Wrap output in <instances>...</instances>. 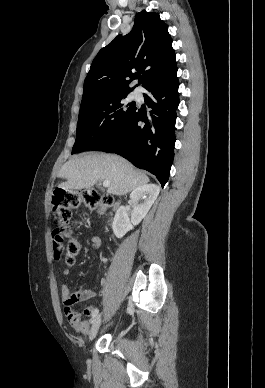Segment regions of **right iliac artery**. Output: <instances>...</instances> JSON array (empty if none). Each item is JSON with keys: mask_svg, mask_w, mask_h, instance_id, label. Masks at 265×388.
Wrapping results in <instances>:
<instances>
[{"mask_svg": "<svg viewBox=\"0 0 265 388\" xmlns=\"http://www.w3.org/2000/svg\"><path fill=\"white\" fill-rule=\"evenodd\" d=\"M98 312L99 310L98 309H95L94 312L92 313V318H91V321L93 322L94 319L96 318V316L98 315Z\"/></svg>", "mask_w": 265, "mask_h": 388, "instance_id": "1", "label": "right iliac artery"}]
</instances>
